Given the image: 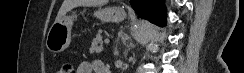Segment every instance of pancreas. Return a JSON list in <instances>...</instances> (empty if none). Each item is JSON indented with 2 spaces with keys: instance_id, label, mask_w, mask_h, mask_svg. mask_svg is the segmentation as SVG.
Instances as JSON below:
<instances>
[{
  "instance_id": "obj_1",
  "label": "pancreas",
  "mask_w": 244,
  "mask_h": 73,
  "mask_svg": "<svg viewBox=\"0 0 244 73\" xmlns=\"http://www.w3.org/2000/svg\"><path fill=\"white\" fill-rule=\"evenodd\" d=\"M102 51H103L102 36L100 34H97L96 37L92 41V44L89 48V52L91 54H93V53L99 54Z\"/></svg>"
}]
</instances>
